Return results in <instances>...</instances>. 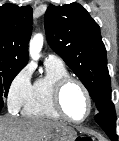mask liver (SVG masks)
Listing matches in <instances>:
<instances>
[{"instance_id":"obj_1","label":"liver","mask_w":119,"mask_h":141,"mask_svg":"<svg viewBox=\"0 0 119 141\" xmlns=\"http://www.w3.org/2000/svg\"><path fill=\"white\" fill-rule=\"evenodd\" d=\"M62 127V123L44 118L0 116V141H42Z\"/></svg>"}]
</instances>
